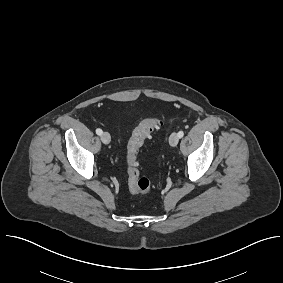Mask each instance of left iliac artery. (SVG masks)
Returning a JSON list of instances; mask_svg holds the SVG:
<instances>
[{
  "label": "left iliac artery",
  "mask_w": 283,
  "mask_h": 283,
  "mask_svg": "<svg viewBox=\"0 0 283 283\" xmlns=\"http://www.w3.org/2000/svg\"><path fill=\"white\" fill-rule=\"evenodd\" d=\"M183 136H184V132H183V131H179V132H178V137H179V138H182Z\"/></svg>",
  "instance_id": "44dca946"
}]
</instances>
